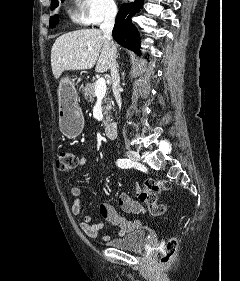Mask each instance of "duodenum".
<instances>
[{
    "label": "duodenum",
    "mask_w": 240,
    "mask_h": 281,
    "mask_svg": "<svg viewBox=\"0 0 240 281\" xmlns=\"http://www.w3.org/2000/svg\"><path fill=\"white\" fill-rule=\"evenodd\" d=\"M104 132L107 138L114 139L117 136V126L114 123H107L104 128Z\"/></svg>",
    "instance_id": "duodenum-1"
}]
</instances>
